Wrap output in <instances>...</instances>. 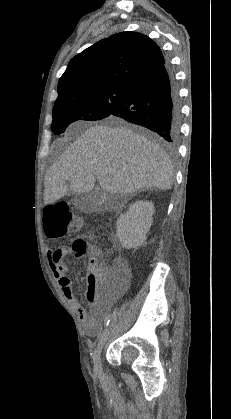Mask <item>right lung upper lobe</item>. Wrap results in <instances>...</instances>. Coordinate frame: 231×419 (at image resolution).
Here are the masks:
<instances>
[{
    "label": "right lung upper lobe",
    "instance_id": "1",
    "mask_svg": "<svg viewBox=\"0 0 231 419\" xmlns=\"http://www.w3.org/2000/svg\"><path fill=\"white\" fill-rule=\"evenodd\" d=\"M165 63L158 45L137 32H121L100 40L73 57L58 82V98L103 87L131 86Z\"/></svg>",
    "mask_w": 231,
    "mask_h": 419
}]
</instances>
